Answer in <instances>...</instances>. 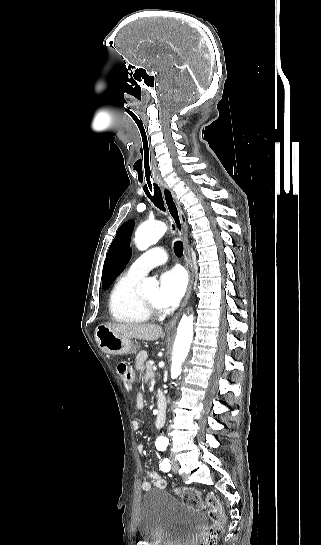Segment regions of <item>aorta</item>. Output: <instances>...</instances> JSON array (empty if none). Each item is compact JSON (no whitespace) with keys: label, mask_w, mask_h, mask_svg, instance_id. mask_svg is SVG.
Segmentation results:
<instances>
[{"label":"aorta","mask_w":321,"mask_h":545,"mask_svg":"<svg viewBox=\"0 0 321 545\" xmlns=\"http://www.w3.org/2000/svg\"><path fill=\"white\" fill-rule=\"evenodd\" d=\"M167 226L165 223L144 222L141 224L135 233V244L139 250H146L151 245H154L165 234ZM156 281L153 278H147L141 285L142 290L149 287H154ZM193 315H183L178 325L177 335L173 348L171 378L176 379L181 374V366L186 359L193 337ZM174 384V383H172ZM158 443L167 444L168 439L160 436L157 439Z\"/></svg>","instance_id":"1"}]
</instances>
